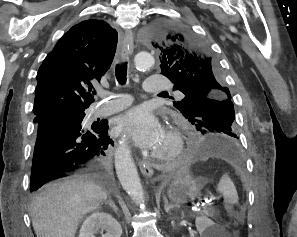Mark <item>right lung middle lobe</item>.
I'll return each mask as SVG.
<instances>
[{
  "instance_id": "right-lung-middle-lobe-1",
  "label": "right lung middle lobe",
  "mask_w": 297,
  "mask_h": 237,
  "mask_svg": "<svg viewBox=\"0 0 297 237\" xmlns=\"http://www.w3.org/2000/svg\"><path fill=\"white\" fill-rule=\"evenodd\" d=\"M70 114L73 115L76 118H80L84 114V112H72ZM35 122L37 124V121H35Z\"/></svg>"
}]
</instances>
